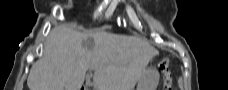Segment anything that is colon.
<instances>
[{
    "label": "colon",
    "instance_id": "5ec220e1",
    "mask_svg": "<svg viewBox=\"0 0 228 90\" xmlns=\"http://www.w3.org/2000/svg\"><path fill=\"white\" fill-rule=\"evenodd\" d=\"M159 67H160V70L163 74V89L164 90H172L173 80H172V76L170 73V60H169V58H164L160 62Z\"/></svg>",
    "mask_w": 228,
    "mask_h": 90
}]
</instances>
